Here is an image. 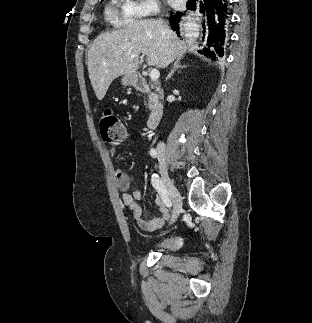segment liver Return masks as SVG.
Instances as JSON below:
<instances>
[{
    "mask_svg": "<svg viewBox=\"0 0 312 323\" xmlns=\"http://www.w3.org/2000/svg\"><path fill=\"white\" fill-rule=\"evenodd\" d=\"M186 52V42L169 28H162L157 20H139L122 30L97 36L88 52L89 78L97 100H103L115 78L135 74L139 54H146L148 66L166 68L184 58Z\"/></svg>",
    "mask_w": 312,
    "mask_h": 323,
    "instance_id": "liver-1",
    "label": "liver"
}]
</instances>
